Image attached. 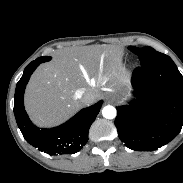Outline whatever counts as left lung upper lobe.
I'll use <instances>...</instances> for the list:
<instances>
[{"label":"left lung upper lobe","mask_w":183,"mask_h":183,"mask_svg":"<svg viewBox=\"0 0 183 183\" xmlns=\"http://www.w3.org/2000/svg\"><path fill=\"white\" fill-rule=\"evenodd\" d=\"M129 49L139 57L142 67H148L172 61L169 56L160 53L149 46L143 48L130 46Z\"/></svg>","instance_id":"1"}]
</instances>
